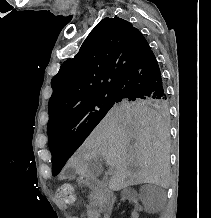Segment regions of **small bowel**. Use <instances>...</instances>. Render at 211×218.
I'll list each match as a JSON object with an SVG mask.
<instances>
[{
  "mask_svg": "<svg viewBox=\"0 0 211 218\" xmlns=\"http://www.w3.org/2000/svg\"><path fill=\"white\" fill-rule=\"evenodd\" d=\"M86 218H99V213L94 209H88L86 212Z\"/></svg>",
  "mask_w": 211,
  "mask_h": 218,
  "instance_id": "1",
  "label": "small bowel"
}]
</instances>
